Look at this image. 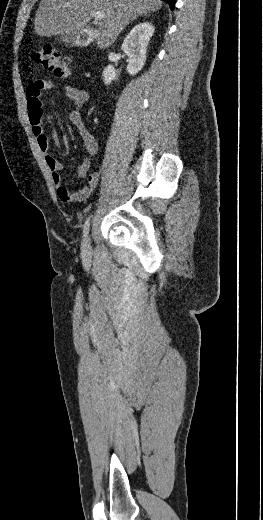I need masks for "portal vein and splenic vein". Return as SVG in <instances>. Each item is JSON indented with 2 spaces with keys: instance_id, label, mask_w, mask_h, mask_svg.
<instances>
[{
  "instance_id": "obj_1",
  "label": "portal vein and splenic vein",
  "mask_w": 263,
  "mask_h": 520,
  "mask_svg": "<svg viewBox=\"0 0 263 520\" xmlns=\"http://www.w3.org/2000/svg\"><path fill=\"white\" fill-rule=\"evenodd\" d=\"M93 17L95 20L99 21L103 18V14L101 12H95L93 13Z\"/></svg>"
}]
</instances>
